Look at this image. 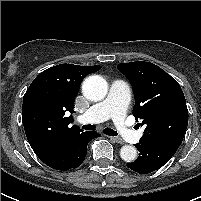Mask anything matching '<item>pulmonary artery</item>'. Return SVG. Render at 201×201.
<instances>
[{"instance_id": "obj_1", "label": "pulmonary artery", "mask_w": 201, "mask_h": 201, "mask_svg": "<svg viewBox=\"0 0 201 201\" xmlns=\"http://www.w3.org/2000/svg\"><path fill=\"white\" fill-rule=\"evenodd\" d=\"M131 91L122 80H114L107 97L78 117L80 122L98 123L112 119L120 136L128 142H138L141 134L125 122V114L130 102Z\"/></svg>"}]
</instances>
